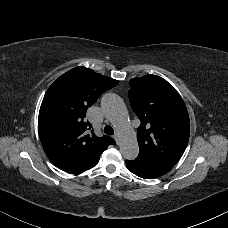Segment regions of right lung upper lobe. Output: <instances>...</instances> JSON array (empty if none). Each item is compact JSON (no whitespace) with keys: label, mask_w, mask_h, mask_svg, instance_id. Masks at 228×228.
Instances as JSON below:
<instances>
[{"label":"right lung upper lobe","mask_w":228,"mask_h":228,"mask_svg":"<svg viewBox=\"0 0 228 228\" xmlns=\"http://www.w3.org/2000/svg\"><path fill=\"white\" fill-rule=\"evenodd\" d=\"M118 83L89 68L76 67L49 87L40 107L38 131L46 155L56 166L72 173L115 144L109 136L94 134L86 111Z\"/></svg>","instance_id":"cb5924a9"}]
</instances>
